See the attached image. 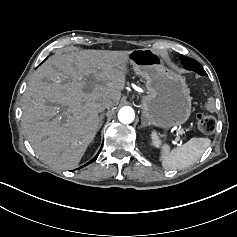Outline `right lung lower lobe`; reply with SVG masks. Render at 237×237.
<instances>
[{"instance_id": "98d812e1", "label": "right lung lower lobe", "mask_w": 237, "mask_h": 237, "mask_svg": "<svg viewBox=\"0 0 237 237\" xmlns=\"http://www.w3.org/2000/svg\"><path fill=\"white\" fill-rule=\"evenodd\" d=\"M97 157H98V154L95 156L94 159H92V160H91L90 162H88L87 164H90V163H92L93 161H95Z\"/></svg>"}]
</instances>
